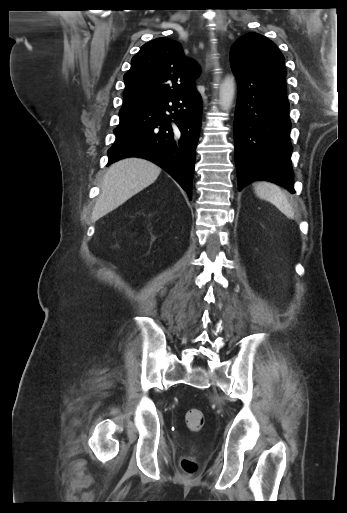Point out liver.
<instances>
[{
    "instance_id": "6515ba94",
    "label": "liver",
    "mask_w": 347,
    "mask_h": 513,
    "mask_svg": "<svg viewBox=\"0 0 347 513\" xmlns=\"http://www.w3.org/2000/svg\"><path fill=\"white\" fill-rule=\"evenodd\" d=\"M161 172L156 164L142 158H125L106 171L101 194L94 207V221L115 210L135 194L148 187Z\"/></svg>"
}]
</instances>
